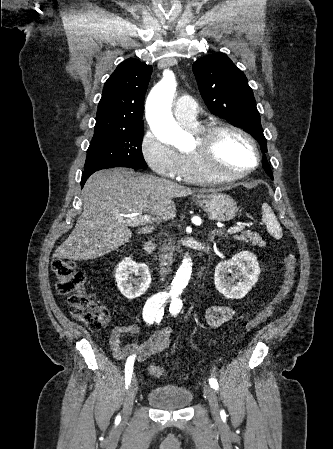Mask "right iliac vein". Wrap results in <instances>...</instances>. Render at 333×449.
Returning a JSON list of instances; mask_svg holds the SVG:
<instances>
[{"instance_id": "obj_1", "label": "right iliac vein", "mask_w": 333, "mask_h": 449, "mask_svg": "<svg viewBox=\"0 0 333 449\" xmlns=\"http://www.w3.org/2000/svg\"><path fill=\"white\" fill-rule=\"evenodd\" d=\"M138 391V382L135 377H133L127 394L125 396L124 407H123V423L127 422L131 414L134 400Z\"/></svg>"}]
</instances>
